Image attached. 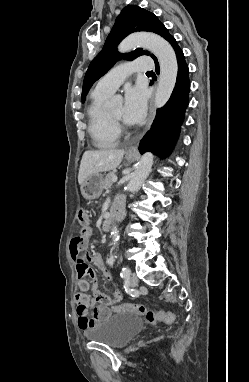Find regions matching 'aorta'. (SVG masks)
Instances as JSON below:
<instances>
[{
	"label": "aorta",
	"instance_id": "1",
	"mask_svg": "<svg viewBox=\"0 0 249 382\" xmlns=\"http://www.w3.org/2000/svg\"><path fill=\"white\" fill-rule=\"evenodd\" d=\"M136 46H143L155 54L160 63V76L155 93V106L162 107L169 100L176 84L178 74L177 57L172 46L162 37L153 33H136L125 38L119 45L120 52H127ZM153 165V154L145 153L140 159L135 171L127 184V190L137 191L148 177ZM114 245L119 240V231L116 226L111 230Z\"/></svg>",
	"mask_w": 249,
	"mask_h": 382
}]
</instances>
